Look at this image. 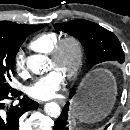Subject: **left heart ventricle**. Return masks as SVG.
I'll list each match as a JSON object with an SVG mask.
<instances>
[{"label": "left heart ventricle", "mask_w": 130, "mask_h": 130, "mask_svg": "<svg viewBox=\"0 0 130 130\" xmlns=\"http://www.w3.org/2000/svg\"><path fill=\"white\" fill-rule=\"evenodd\" d=\"M75 51L72 46H67L64 50L61 62L56 65L53 61H50V68L59 70L62 74L71 67L74 62Z\"/></svg>", "instance_id": "left-heart-ventricle-1"}]
</instances>
